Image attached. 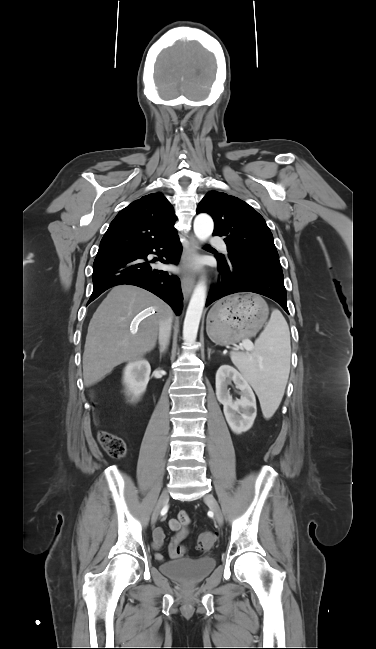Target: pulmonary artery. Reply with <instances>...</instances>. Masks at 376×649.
<instances>
[{"label":"pulmonary artery","instance_id":"e3ab8cb5","mask_svg":"<svg viewBox=\"0 0 376 649\" xmlns=\"http://www.w3.org/2000/svg\"><path fill=\"white\" fill-rule=\"evenodd\" d=\"M209 241H210L211 244L220 247L222 250H226V249H227L226 244H225L224 241H223L221 238H219V237H211Z\"/></svg>","mask_w":376,"mask_h":649}]
</instances>
